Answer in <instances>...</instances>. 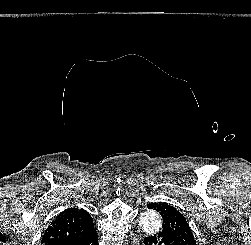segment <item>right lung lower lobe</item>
<instances>
[{
	"instance_id": "98d812e1",
	"label": "right lung lower lobe",
	"mask_w": 251,
	"mask_h": 245,
	"mask_svg": "<svg viewBox=\"0 0 251 245\" xmlns=\"http://www.w3.org/2000/svg\"><path fill=\"white\" fill-rule=\"evenodd\" d=\"M52 245H98V237L95 231L85 238L66 240L61 243H52Z\"/></svg>"
}]
</instances>
